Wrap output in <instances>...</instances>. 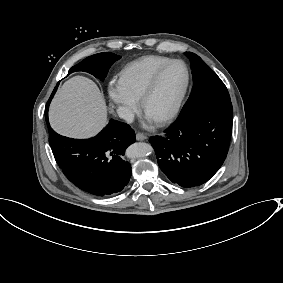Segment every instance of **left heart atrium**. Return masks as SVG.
<instances>
[{"mask_svg": "<svg viewBox=\"0 0 283 283\" xmlns=\"http://www.w3.org/2000/svg\"><path fill=\"white\" fill-rule=\"evenodd\" d=\"M145 118H146L147 120H149V121L154 120V119H152L151 117H149V116H148V115H146V114H145Z\"/></svg>", "mask_w": 283, "mask_h": 283, "instance_id": "39dd6f15", "label": "left heart atrium"}]
</instances>
